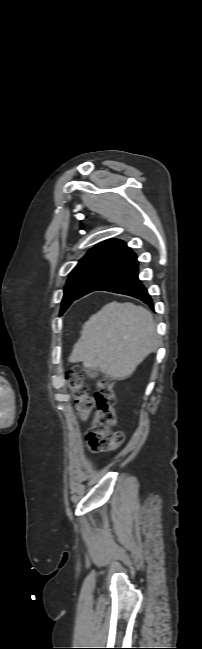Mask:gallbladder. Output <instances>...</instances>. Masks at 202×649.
I'll use <instances>...</instances> for the list:
<instances>
[{
  "instance_id": "1",
  "label": "gallbladder",
  "mask_w": 202,
  "mask_h": 649,
  "mask_svg": "<svg viewBox=\"0 0 202 649\" xmlns=\"http://www.w3.org/2000/svg\"><path fill=\"white\" fill-rule=\"evenodd\" d=\"M83 370L90 378H96L99 375V370L96 368L84 367Z\"/></svg>"
}]
</instances>
